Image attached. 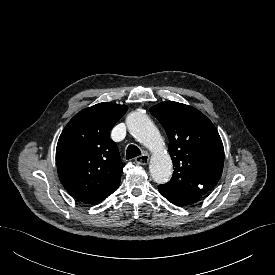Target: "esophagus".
Returning a JSON list of instances; mask_svg holds the SVG:
<instances>
[{"label": "esophagus", "mask_w": 275, "mask_h": 275, "mask_svg": "<svg viewBox=\"0 0 275 275\" xmlns=\"http://www.w3.org/2000/svg\"><path fill=\"white\" fill-rule=\"evenodd\" d=\"M135 161L139 165H146L149 162V155L148 154H142L141 156L136 157Z\"/></svg>", "instance_id": "obj_1"}]
</instances>
